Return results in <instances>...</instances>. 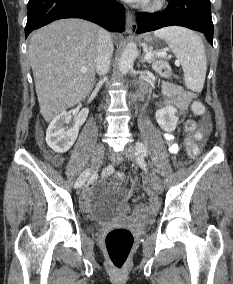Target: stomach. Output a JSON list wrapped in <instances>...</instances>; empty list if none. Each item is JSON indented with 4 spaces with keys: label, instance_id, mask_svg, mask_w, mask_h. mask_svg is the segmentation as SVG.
I'll use <instances>...</instances> for the list:
<instances>
[{
    "label": "stomach",
    "instance_id": "1",
    "mask_svg": "<svg viewBox=\"0 0 233 284\" xmlns=\"http://www.w3.org/2000/svg\"><path fill=\"white\" fill-rule=\"evenodd\" d=\"M144 40L149 44H154L155 37L152 36L151 34H147V35H145Z\"/></svg>",
    "mask_w": 233,
    "mask_h": 284
}]
</instances>
